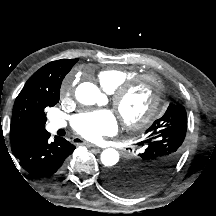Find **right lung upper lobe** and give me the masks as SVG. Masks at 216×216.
<instances>
[{"label": "right lung upper lobe", "mask_w": 216, "mask_h": 216, "mask_svg": "<svg viewBox=\"0 0 216 216\" xmlns=\"http://www.w3.org/2000/svg\"><path fill=\"white\" fill-rule=\"evenodd\" d=\"M78 59L52 61L36 71L17 96L10 126L14 153L33 136L45 131V109L58 103L61 82Z\"/></svg>", "instance_id": "right-lung-upper-lobe-1"}]
</instances>
